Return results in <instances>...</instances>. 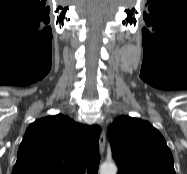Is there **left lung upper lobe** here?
Wrapping results in <instances>:
<instances>
[{
	"label": "left lung upper lobe",
	"mask_w": 187,
	"mask_h": 174,
	"mask_svg": "<svg viewBox=\"0 0 187 174\" xmlns=\"http://www.w3.org/2000/svg\"><path fill=\"white\" fill-rule=\"evenodd\" d=\"M107 133L118 174H176L165 139L149 122L120 116Z\"/></svg>",
	"instance_id": "1"
}]
</instances>
